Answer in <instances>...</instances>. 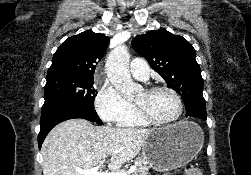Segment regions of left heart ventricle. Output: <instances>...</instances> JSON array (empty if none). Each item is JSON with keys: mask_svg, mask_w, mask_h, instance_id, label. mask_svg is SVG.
Segmentation results:
<instances>
[{"mask_svg": "<svg viewBox=\"0 0 251 175\" xmlns=\"http://www.w3.org/2000/svg\"><path fill=\"white\" fill-rule=\"evenodd\" d=\"M142 112L151 114L159 121L170 122L179 115V105L175 96L167 90L150 91L143 89L134 101Z\"/></svg>", "mask_w": 251, "mask_h": 175, "instance_id": "obj_1", "label": "left heart ventricle"}]
</instances>
